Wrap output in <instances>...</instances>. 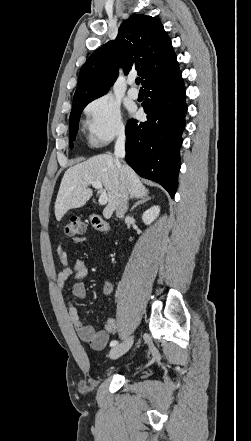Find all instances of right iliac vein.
Segmentation results:
<instances>
[{
	"mask_svg": "<svg viewBox=\"0 0 251 441\" xmlns=\"http://www.w3.org/2000/svg\"><path fill=\"white\" fill-rule=\"evenodd\" d=\"M132 344H133V339L130 338L127 341H125L124 343L113 347L110 350L109 357L111 359L119 358L120 356H122L124 353H126L130 349Z\"/></svg>",
	"mask_w": 251,
	"mask_h": 441,
	"instance_id": "right-iliac-vein-1",
	"label": "right iliac vein"
}]
</instances>
